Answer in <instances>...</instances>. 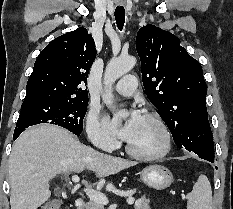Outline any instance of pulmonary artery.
<instances>
[{
  "label": "pulmonary artery",
  "mask_w": 233,
  "mask_h": 209,
  "mask_svg": "<svg viewBox=\"0 0 233 209\" xmlns=\"http://www.w3.org/2000/svg\"><path fill=\"white\" fill-rule=\"evenodd\" d=\"M137 88V78L133 75L122 77L114 86V91L122 96H131Z\"/></svg>",
  "instance_id": "e3ab8cb5"
}]
</instances>
